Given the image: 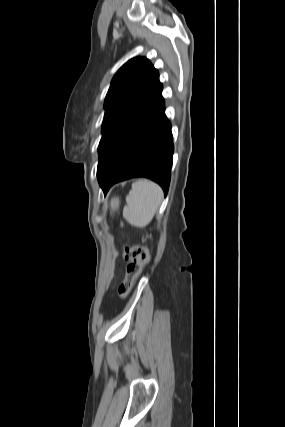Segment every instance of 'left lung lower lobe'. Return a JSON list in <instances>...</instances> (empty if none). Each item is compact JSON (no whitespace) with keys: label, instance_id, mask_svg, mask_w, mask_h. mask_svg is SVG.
Instances as JSON below:
<instances>
[{"label":"left lung lower lobe","instance_id":"0a47b994","mask_svg":"<svg viewBox=\"0 0 285 427\" xmlns=\"http://www.w3.org/2000/svg\"><path fill=\"white\" fill-rule=\"evenodd\" d=\"M161 93L162 88L115 145L99 158L97 177L105 194L114 183L132 177L150 178L167 194L173 143Z\"/></svg>","mask_w":285,"mask_h":427}]
</instances>
